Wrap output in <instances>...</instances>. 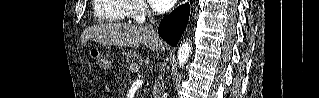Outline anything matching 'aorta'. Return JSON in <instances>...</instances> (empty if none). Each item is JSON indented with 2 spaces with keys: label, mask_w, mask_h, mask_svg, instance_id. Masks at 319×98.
Instances as JSON below:
<instances>
[{
  "label": "aorta",
  "mask_w": 319,
  "mask_h": 98,
  "mask_svg": "<svg viewBox=\"0 0 319 98\" xmlns=\"http://www.w3.org/2000/svg\"><path fill=\"white\" fill-rule=\"evenodd\" d=\"M190 53H191L190 41L183 42L179 47L178 55H177L178 64L180 65V67L183 66L187 62V60L190 56Z\"/></svg>",
  "instance_id": "762f6f07"
}]
</instances>
